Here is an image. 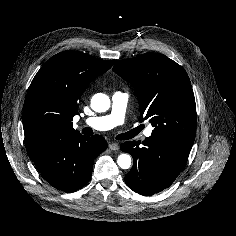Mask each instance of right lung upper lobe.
Returning a JSON list of instances; mask_svg holds the SVG:
<instances>
[{
  "instance_id": "obj_1",
  "label": "right lung upper lobe",
  "mask_w": 236,
  "mask_h": 236,
  "mask_svg": "<svg viewBox=\"0 0 236 236\" xmlns=\"http://www.w3.org/2000/svg\"><path fill=\"white\" fill-rule=\"evenodd\" d=\"M114 62L81 52H61L41 67L31 82L23 108L28 153L79 133L72 123L78 114V100L90 82Z\"/></svg>"
}]
</instances>
